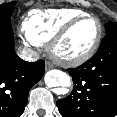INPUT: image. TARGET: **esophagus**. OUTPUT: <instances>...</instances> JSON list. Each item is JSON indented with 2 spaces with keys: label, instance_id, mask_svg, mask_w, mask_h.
Segmentation results:
<instances>
[{
  "label": "esophagus",
  "instance_id": "1",
  "mask_svg": "<svg viewBox=\"0 0 117 117\" xmlns=\"http://www.w3.org/2000/svg\"><path fill=\"white\" fill-rule=\"evenodd\" d=\"M51 68H53V64H52L51 62L47 61V62L45 63V69H46V70H49V69H51Z\"/></svg>",
  "mask_w": 117,
  "mask_h": 117
}]
</instances>
